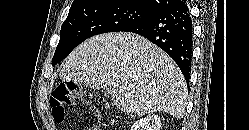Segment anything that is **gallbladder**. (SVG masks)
<instances>
[{
	"label": "gallbladder",
	"instance_id": "bac80fb5",
	"mask_svg": "<svg viewBox=\"0 0 249 130\" xmlns=\"http://www.w3.org/2000/svg\"><path fill=\"white\" fill-rule=\"evenodd\" d=\"M101 93L103 94V96L105 97H109L111 94H110V90L108 88H104L101 90Z\"/></svg>",
	"mask_w": 249,
	"mask_h": 130
}]
</instances>
